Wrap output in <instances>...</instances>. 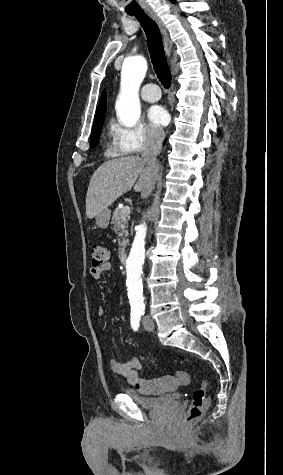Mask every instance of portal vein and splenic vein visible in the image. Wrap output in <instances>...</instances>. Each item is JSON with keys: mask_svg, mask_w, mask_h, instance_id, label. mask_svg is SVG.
<instances>
[{"mask_svg": "<svg viewBox=\"0 0 283 475\" xmlns=\"http://www.w3.org/2000/svg\"><path fill=\"white\" fill-rule=\"evenodd\" d=\"M122 208H123V206H122ZM126 212H128V214H130V208H128V206L126 208Z\"/></svg>", "mask_w": 283, "mask_h": 475, "instance_id": "18ae733b", "label": "portal vein and splenic vein"}]
</instances>
